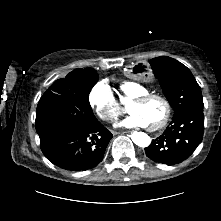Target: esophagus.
Masks as SVG:
<instances>
[{
  "label": "esophagus",
  "mask_w": 221,
  "mask_h": 221,
  "mask_svg": "<svg viewBox=\"0 0 221 221\" xmlns=\"http://www.w3.org/2000/svg\"><path fill=\"white\" fill-rule=\"evenodd\" d=\"M132 132H133V131L130 129V130H128V131H126V130H125V131H124V130H118V131H117V130H114L112 133H113L114 135H117V134H118V135H124V134H125V135H126V134L129 135V134H131Z\"/></svg>",
  "instance_id": "34e87169"
}]
</instances>
